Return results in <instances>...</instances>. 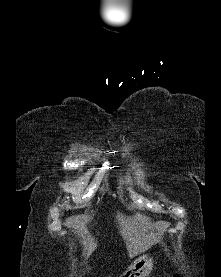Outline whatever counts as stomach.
<instances>
[{
  "label": "stomach",
  "instance_id": "obj_1",
  "mask_svg": "<svg viewBox=\"0 0 221 277\" xmlns=\"http://www.w3.org/2000/svg\"><path fill=\"white\" fill-rule=\"evenodd\" d=\"M152 268V258L148 254H144L135 259L121 277H146Z\"/></svg>",
  "mask_w": 221,
  "mask_h": 277
}]
</instances>
